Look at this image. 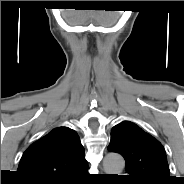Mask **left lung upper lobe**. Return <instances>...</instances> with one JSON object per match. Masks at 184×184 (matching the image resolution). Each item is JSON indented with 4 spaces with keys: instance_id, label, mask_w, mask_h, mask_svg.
Instances as JSON below:
<instances>
[{
    "instance_id": "1",
    "label": "left lung upper lobe",
    "mask_w": 184,
    "mask_h": 184,
    "mask_svg": "<svg viewBox=\"0 0 184 184\" xmlns=\"http://www.w3.org/2000/svg\"><path fill=\"white\" fill-rule=\"evenodd\" d=\"M108 150L124 157L131 184H169L172 179L162 144L133 122L112 128Z\"/></svg>"
}]
</instances>
